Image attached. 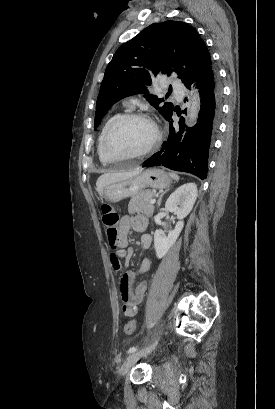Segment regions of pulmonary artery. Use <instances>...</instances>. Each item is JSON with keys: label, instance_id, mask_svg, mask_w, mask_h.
Returning a JSON list of instances; mask_svg holds the SVG:
<instances>
[{"label": "pulmonary artery", "instance_id": "obj_1", "mask_svg": "<svg viewBox=\"0 0 275 409\" xmlns=\"http://www.w3.org/2000/svg\"><path fill=\"white\" fill-rule=\"evenodd\" d=\"M171 78L172 79H175L176 78V75L175 74H172L171 75ZM170 78V79H171ZM169 79V78H168ZM170 85L172 86V87H176L177 85H178V82L176 81V80H172L171 82H170Z\"/></svg>", "mask_w": 275, "mask_h": 409}]
</instances>
